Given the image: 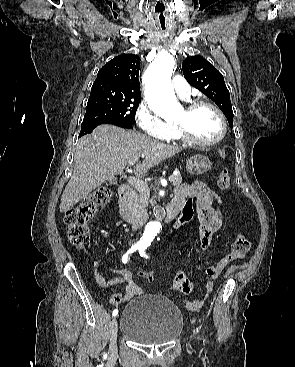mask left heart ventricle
I'll use <instances>...</instances> for the list:
<instances>
[{"mask_svg": "<svg viewBox=\"0 0 295 367\" xmlns=\"http://www.w3.org/2000/svg\"><path fill=\"white\" fill-rule=\"evenodd\" d=\"M176 124L185 126L198 140L216 139L221 132V123L216 113L209 107H200L192 112L182 110L175 119Z\"/></svg>", "mask_w": 295, "mask_h": 367, "instance_id": "b2bd125f", "label": "left heart ventricle"}]
</instances>
